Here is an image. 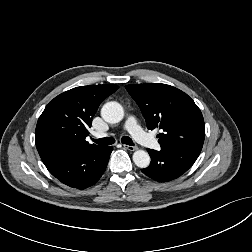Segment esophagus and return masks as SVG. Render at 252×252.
Returning a JSON list of instances; mask_svg holds the SVG:
<instances>
[{"instance_id": "obj_1", "label": "esophagus", "mask_w": 252, "mask_h": 252, "mask_svg": "<svg viewBox=\"0 0 252 252\" xmlns=\"http://www.w3.org/2000/svg\"><path fill=\"white\" fill-rule=\"evenodd\" d=\"M123 147H124L125 149L129 150V151H135V150L138 149L137 146H130V145H126V144H124Z\"/></svg>"}]
</instances>
